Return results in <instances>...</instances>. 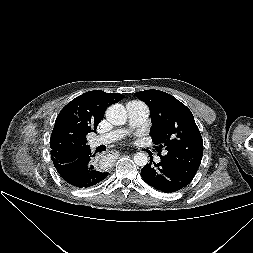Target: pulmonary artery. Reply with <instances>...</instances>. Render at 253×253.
<instances>
[{
	"label": "pulmonary artery",
	"instance_id": "pulmonary-artery-1",
	"mask_svg": "<svg viewBox=\"0 0 253 253\" xmlns=\"http://www.w3.org/2000/svg\"><path fill=\"white\" fill-rule=\"evenodd\" d=\"M128 123L130 128L138 127L146 122L149 117V108L146 104L140 101H131L127 105ZM127 133V129H117L109 133L96 136L90 140L91 148H96L100 145H107L121 139ZM159 162L160 158L157 157Z\"/></svg>",
	"mask_w": 253,
	"mask_h": 253
}]
</instances>
